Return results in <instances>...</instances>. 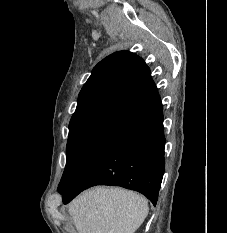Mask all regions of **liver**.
Here are the masks:
<instances>
[{"instance_id":"liver-1","label":"liver","mask_w":227,"mask_h":233,"mask_svg":"<svg viewBox=\"0 0 227 233\" xmlns=\"http://www.w3.org/2000/svg\"><path fill=\"white\" fill-rule=\"evenodd\" d=\"M148 211V202L140 194L104 187L85 191L68 208L78 233H134Z\"/></svg>"}]
</instances>
